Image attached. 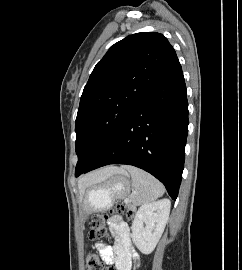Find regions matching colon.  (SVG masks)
<instances>
[{
    "mask_svg": "<svg viewBox=\"0 0 242 270\" xmlns=\"http://www.w3.org/2000/svg\"><path fill=\"white\" fill-rule=\"evenodd\" d=\"M113 214L131 215V212L126 210L123 205H118L115 210L100 211L95 213L90 222V231L88 237L92 241H102L109 236L107 222ZM87 270H114L113 267L105 265L100 257L94 253L89 252L86 256Z\"/></svg>",
    "mask_w": 242,
    "mask_h": 270,
    "instance_id": "1",
    "label": "colon"
}]
</instances>
